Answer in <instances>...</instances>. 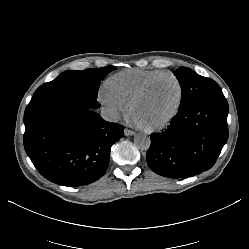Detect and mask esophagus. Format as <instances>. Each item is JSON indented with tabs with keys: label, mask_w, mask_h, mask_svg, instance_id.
Segmentation results:
<instances>
[{
	"label": "esophagus",
	"mask_w": 249,
	"mask_h": 249,
	"mask_svg": "<svg viewBox=\"0 0 249 249\" xmlns=\"http://www.w3.org/2000/svg\"><path fill=\"white\" fill-rule=\"evenodd\" d=\"M124 133H125L126 136H133V135H135L134 131L129 130L127 128L124 130Z\"/></svg>",
	"instance_id": "obj_1"
}]
</instances>
